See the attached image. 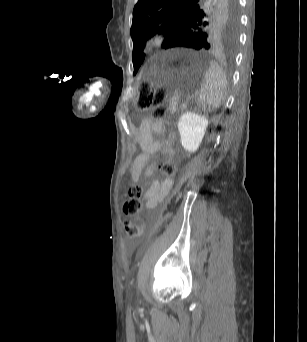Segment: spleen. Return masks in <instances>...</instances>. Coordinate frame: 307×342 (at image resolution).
Returning a JSON list of instances; mask_svg holds the SVG:
<instances>
[{"label":"spleen","mask_w":307,"mask_h":342,"mask_svg":"<svg viewBox=\"0 0 307 342\" xmlns=\"http://www.w3.org/2000/svg\"><path fill=\"white\" fill-rule=\"evenodd\" d=\"M210 61V66L201 86V92L197 98L206 114H214L216 108H220L227 92V80L224 72L214 62L213 58Z\"/></svg>","instance_id":"3e777b00"}]
</instances>
